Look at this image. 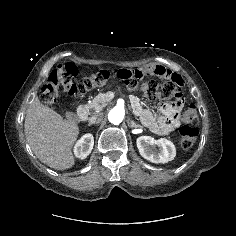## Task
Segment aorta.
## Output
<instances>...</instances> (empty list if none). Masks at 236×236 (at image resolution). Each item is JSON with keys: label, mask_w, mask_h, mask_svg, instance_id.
<instances>
[{"label": "aorta", "mask_w": 236, "mask_h": 236, "mask_svg": "<svg viewBox=\"0 0 236 236\" xmlns=\"http://www.w3.org/2000/svg\"><path fill=\"white\" fill-rule=\"evenodd\" d=\"M124 109L121 106L113 107L108 113V120L114 125L120 124L124 119Z\"/></svg>", "instance_id": "aorta-1"}]
</instances>
